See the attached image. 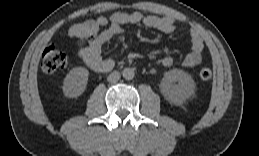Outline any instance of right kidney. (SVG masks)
<instances>
[{
    "instance_id": "obj_1",
    "label": "right kidney",
    "mask_w": 259,
    "mask_h": 156,
    "mask_svg": "<svg viewBox=\"0 0 259 156\" xmlns=\"http://www.w3.org/2000/svg\"><path fill=\"white\" fill-rule=\"evenodd\" d=\"M89 72L84 67H76L70 70L63 82V93L70 98H76L83 94L88 82Z\"/></svg>"
}]
</instances>
